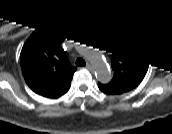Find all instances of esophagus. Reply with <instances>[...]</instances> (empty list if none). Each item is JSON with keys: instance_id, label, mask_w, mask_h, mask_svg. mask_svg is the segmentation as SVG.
I'll return each instance as SVG.
<instances>
[{"instance_id": "esophagus-1", "label": "esophagus", "mask_w": 172, "mask_h": 134, "mask_svg": "<svg viewBox=\"0 0 172 134\" xmlns=\"http://www.w3.org/2000/svg\"><path fill=\"white\" fill-rule=\"evenodd\" d=\"M86 68H87L88 70H91V64H90L89 62L86 63Z\"/></svg>"}]
</instances>
